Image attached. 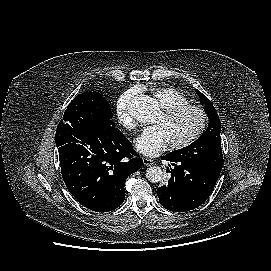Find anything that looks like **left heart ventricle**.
I'll use <instances>...</instances> for the list:
<instances>
[{"label":"left heart ventricle","mask_w":271,"mask_h":271,"mask_svg":"<svg viewBox=\"0 0 271 271\" xmlns=\"http://www.w3.org/2000/svg\"><path fill=\"white\" fill-rule=\"evenodd\" d=\"M165 130L170 143L185 139L191 135L199 125V116L195 111H185L173 118H165L159 113L154 120Z\"/></svg>","instance_id":"left-heart-ventricle-1"}]
</instances>
